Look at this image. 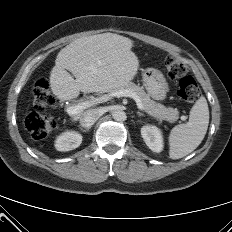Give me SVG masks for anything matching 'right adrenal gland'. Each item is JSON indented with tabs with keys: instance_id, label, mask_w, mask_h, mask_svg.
<instances>
[{
	"instance_id": "right-adrenal-gland-1",
	"label": "right adrenal gland",
	"mask_w": 232,
	"mask_h": 232,
	"mask_svg": "<svg viewBox=\"0 0 232 232\" xmlns=\"http://www.w3.org/2000/svg\"><path fill=\"white\" fill-rule=\"evenodd\" d=\"M79 129L82 131V132H88L90 130V127L89 128H83L81 126H79Z\"/></svg>"
}]
</instances>
